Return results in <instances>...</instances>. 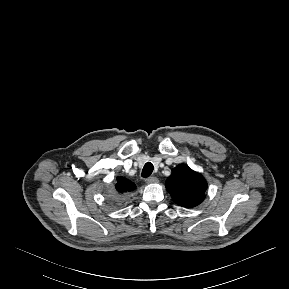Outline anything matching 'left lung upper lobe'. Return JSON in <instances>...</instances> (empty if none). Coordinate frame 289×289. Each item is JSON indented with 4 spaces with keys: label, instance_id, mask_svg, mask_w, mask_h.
<instances>
[{
    "label": "left lung upper lobe",
    "instance_id": "1",
    "mask_svg": "<svg viewBox=\"0 0 289 289\" xmlns=\"http://www.w3.org/2000/svg\"><path fill=\"white\" fill-rule=\"evenodd\" d=\"M166 189L178 205L194 207L203 201L207 182L201 174L180 164L172 169V174L166 181Z\"/></svg>",
    "mask_w": 289,
    "mask_h": 289
}]
</instances>
